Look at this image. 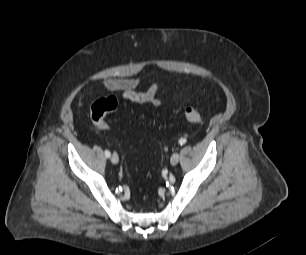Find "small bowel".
Segmentation results:
<instances>
[{
	"label": "small bowel",
	"instance_id": "small-bowel-1",
	"mask_svg": "<svg viewBox=\"0 0 306 255\" xmlns=\"http://www.w3.org/2000/svg\"><path fill=\"white\" fill-rule=\"evenodd\" d=\"M104 84L107 89L120 92L123 99L133 103L159 106L163 102L160 87L157 84H152L144 91H137L140 85L139 78L107 79Z\"/></svg>",
	"mask_w": 306,
	"mask_h": 255
}]
</instances>
